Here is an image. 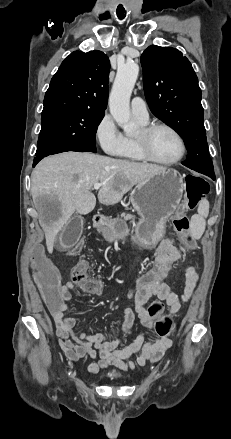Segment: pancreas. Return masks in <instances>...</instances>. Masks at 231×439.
I'll use <instances>...</instances> for the list:
<instances>
[{
    "mask_svg": "<svg viewBox=\"0 0 231 439\" xmlns=\"http://www.w3.org/2000/svg\"><path fill=\"white\" fill-rule=\"evenodd\" d=\"M120 216L123 217L124 220H126V221L130 220V222H132V223L135 222V216L134 215L126 214V213H121Z\"/></svg>",
    "mask_w": 231,
    "mask_h": 439,
    "instance_id": "cf45deb5",
    "label": "pancreas"
}]
</instances>
